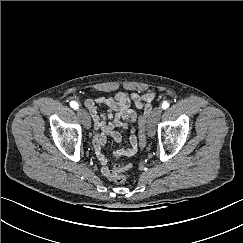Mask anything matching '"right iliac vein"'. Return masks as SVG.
<instances>
[{"label": "right iliac vein", "instance_id": "1", "mask_svg": "<svg viewBox=\"0 0 243 243\" xmlns=\"http://www.w3.org/2000/svg\"><path fill=\"white\" fill-rule=\"evenodd\" d=\"M78 116L81 119L83 125L86 127V129H89L91 127V121L88 113L84 109H79Z\"/></svg>", "mask_w": 243, "mask_h": 243}]
</instances>
